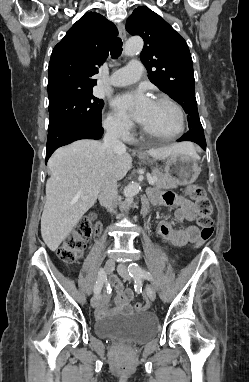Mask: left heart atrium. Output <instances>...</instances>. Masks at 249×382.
Instances as JSON below:
<instances>
[{
  "label": "left heart atrium",
  "mask_w": 249,
  "mask_h": 382,
  "mask_svg": "<svg viewBox=\"0 0 249 382\" xmlns=\"http://www.w3.org/2000/svg\"><path fill=\"white\" fill-rule=\"evenodd\" d=\"M152 103L143 90L124 93L113 100V106L119 113L131 116L139 123L146 118Z\"/></svg>",
  "instance_id": "39dd6f15"
}]
</instances>
